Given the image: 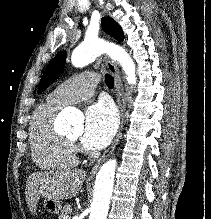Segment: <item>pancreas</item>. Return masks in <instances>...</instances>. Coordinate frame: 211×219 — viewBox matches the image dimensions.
<instances>
[{
  "label": "pancreas",
  "mask_w": 211,
  "mask_h": 219,
  "mask_svg": "<svg viewBox=\"0 0 211 219\" xmlns=\"http://www.w3.org/2000/svg\"><path fill=\"white\" fill-rule=\"evenodd\" d=\"M70 212H71V206L70 205H65L62 208L58 219H65V217H68V219H70V217H69Z\"/></svg>",
  "instance_id": "pancreas-1"
}]
</instances>
